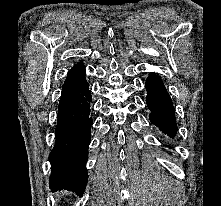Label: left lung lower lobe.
Listing matches in <instances>:
<instances>
[{
  "mask_svg": "<svg viewBox=\"0 0 221 206\" xmlns=\"http://www.w3.org/2000/svg\"><path fill=\"white\" fill-rule=\"evenodd\" d=\"M146 89L151 123L173 138L177 132V124L174 107L164 83L155 74H151L146 80Z\"/></svg>",
  "mask_w": 221,
  "mask_h": 206,
  "instance_id": "obj_1",
  "label": "left lung lower lobe"
}]
</instances>
